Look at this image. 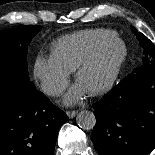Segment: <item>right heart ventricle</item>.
<instances>
[{
  "label": "right heart ventricle",
  "instance_id": "e07e8e85",
  "mask_svg": "<svg viewBox=\"0 0 155 155\" xmlns=\"http://www.w3.org/2000/svg\"><path fill=\"white\" fill-rule=\"evenodd\" d=\"M115 35V31L105 28L85 29L64 35L51 44V56L68 72H73L102 41Z\"/></svg>",
  "mask_w": 155,
  "mask_h": 155
}]
</instances>
